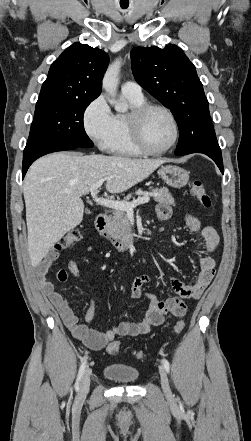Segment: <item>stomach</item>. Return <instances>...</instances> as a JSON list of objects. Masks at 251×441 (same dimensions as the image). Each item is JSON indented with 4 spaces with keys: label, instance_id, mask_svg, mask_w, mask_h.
I'll use <instances>...</instances> for the list:
<instances>
[{
    "label": "stomach",
    "instance_id": "obj_1",
    "mask_svg": "<svg viewBox=\"0 0 251 441\" xmlns=\"http://www.w3.org/2000/svg\"><path fill=\"white\" fill-rule=\"evenodd\" d=\"M159 175L167 185L177 189L184 187L189 181V173L176 165L162 166Z\"/></svg>",
    "mask_w": 251,
    "mask_h": 441
}]
</instances>
